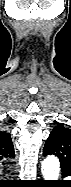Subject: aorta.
<instances>
[{
    "instance_id": "1",
    "label": "aorta",
    "mask_w": 71,
    "mask_h": 187,
    "mask_svg": "<svg viewBox=\"0 0 71 187\" xmlns=\"http://www.w3.org/2000/svg\"><path fill=\"white\" fill-rule=\"evenodd\" d=\"M42 175L45 180H58L60 172V163L57 157H46L41 165Z\"/></svg>"
}]
</instances>
